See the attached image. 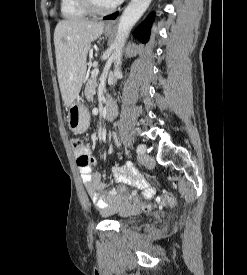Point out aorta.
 Instances as JSON below:
<instances>
[{
    "label": "aorta",
    "mask_w": 247,
    "mask_h": 275,
    "mask_svg": "<svg viewBox=\"0 0 247 275\" xmlns=\"http://www.w3.org/2000/svg\"><path fill=\"white\" fill-rule=\"evenodd\" d=\"M150 3L151 0H131L120 17L114 40V52L112 53V59L114 61L113 75L115 81L121 74L122 53L126 39L131 29L144 14Z\"/></svg>",
    "instance_id": "762f6f07"
}]
</instances>
